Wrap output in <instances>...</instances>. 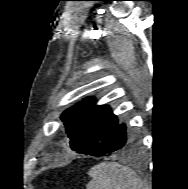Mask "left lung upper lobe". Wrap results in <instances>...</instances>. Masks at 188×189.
Segmentation results:
<instances>
[{
	"instance_id": "left-lung-upper-lobe-1",
	"label": "left lung upper lobe",
	"mask_w": 188,
	"mask_h": 189,
	"mask_svg": "<svg viewBox=\"0 0 188 189\" xmlns=\"http://www.w3.org/2000/svg\"><path fill=\"white\" fill-rule=\"evenodd\" d=\"M61 120L70 138L71 149L88 154L118 125L109 106L95 105L94 98L85 99L66 110Z\"/></svg>"
}]
</instances>
